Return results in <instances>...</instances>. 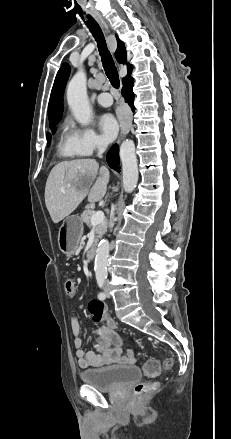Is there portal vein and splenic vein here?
<instances>
[{
  "instance_id": "18ae733b",
  "label": "portal vein and splenic vein",
  "mask_w": 231,
  "mask_h": 439,
  "mask_svg": "<svg viewBox=\"0 0 231 439\" xmlns=\"http://www.w3.org/2000/svg\"><path fill=\"white\" fill-rule=\"evenodd\" d=\"M105 219V215L102 211H97L91 218V224L92 226H97L101 222H103Z\"/></svg>"
}]
</instances>
